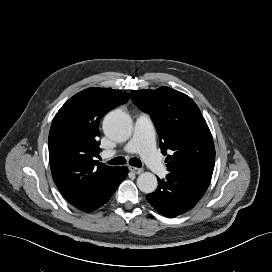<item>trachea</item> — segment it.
Returning <instances> with one entry per match:
<instances>
[{"label":"trachea","instance_id":"obj_1","mask_svg":"<svg viewBox=\"0 0 272 272\" xmlns=\"http://www.w3.org/2000/svg\"><path fill=\"white\" fill-rule=\"evenodd\" d=\"M108 163L111 164V165H123V164L126 163V161H125V159L123 157H116V158L110 160ZM129 164L134 166V167H139V168L142 166L141 161L138 158H135V157L131 158L129 160Z\"/></svg>","mask_w":272,"mask_h":272}]
</instances>
